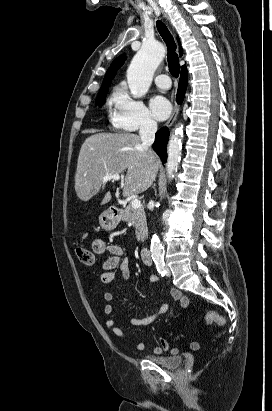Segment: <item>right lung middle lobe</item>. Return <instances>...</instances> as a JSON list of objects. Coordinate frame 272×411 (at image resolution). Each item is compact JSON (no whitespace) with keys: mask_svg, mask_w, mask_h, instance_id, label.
Wrapping results in <instances>:
<instances>
[{"mask_svg":"<svg viewBox=\"0 0 272 411\" xmlns=\"http://www.w3.org/2000/svg\"><path fill=\"white\" fill-rule=\"evenodd\" d=\"M109 86L110 85L106 86L104 89H101L99 91V94H98V96L96 98V101H95L96 105H99L101 107L105 103V97H106V94L108 92V87Z\"/></svg>","mask_w":272,"mask_h":411,"instance_id":"obj_1","label":"right lung middle lobe"}]
</instances>
